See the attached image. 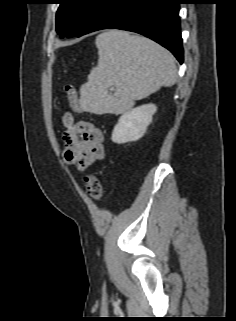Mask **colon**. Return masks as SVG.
I'll return each instance as SVG.
<instances>
[{
    "mask_svg": "<svg viewBox=\"0 0 236 321\" xmlns=\"http://www.w3.org/2000/svg\"><path fill=\"white\" fill-rule=\"evenodd\" d=\"M64 89L72 110L81 112L77 88L73 84H66ZM85 186L87 194L93 200L99 201L102 198L103 186L99 176L94 174L87 175L85 177Z\"/></svg>",
    "mask_w": 236,
    "mask_h": 321,
    "instance_id": "1",
    "label": "colon"
}]
</instances>
